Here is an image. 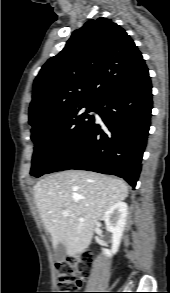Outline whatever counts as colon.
I'll list each match as a JSON object with an SVG mask.
<instances>
[{
    "label": "colon",
    "mask_w": 170,
    "mask_h": 293,
    "mask_svg": "<svg viewBox=\"0 0 170 293\" xmlns=\"http://www.w3.org/2000/svg\"><path fill=\"white\" fill-rule=\"evenodd\" d=\"M92 260L90 253H83L79 257L57 263L59 293H80L75 291L80 288V280L90 275Z\"/></svg>",
    "instance_id": "5ec220e1"
}]
</instances>
